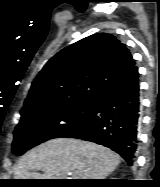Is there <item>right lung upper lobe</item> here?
<instances>
[{
  "mask_svg": "<svg viewBox=\"0 0 160 187\" xmlns=\"http://www.w3.org/2000/svg\"><path fill=\"white\" fill-rule=\"evenodd\" d=\"M135 66L115 36L98 33L52 57L32 83L21 112L79 98H99Z\"/></svg>",
  "mask_w": 160,
  "mask_h": 187,
  "instance_id": "cb5924a9",
  "label": "right lung upper lobe"
}]
</instances>
